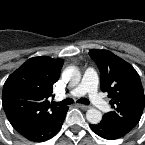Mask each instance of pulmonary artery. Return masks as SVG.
Returning <instances> with one entry per match:
<instances>
[{
  "mask_svg": "<svg viewBox=\"0 0 145 145\" xmlns=\"http://www.w3.org/2000/svg\"><path fill=\"white\" fill-rule=\"evenodd\" d=\"M72 95H88L90 101L100 110L110 111L108 102L102 97L98 87V76L93 68H88L79 85L71 92Z\"/></svg>",
  "mask_w": 145,
  "mask_h": 145,
  "instance_id": "1",
  "label": "pulmonary artery"
}]
</instances>
